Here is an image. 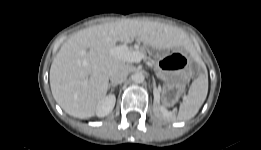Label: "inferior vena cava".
I'll return each instance as SVG.
<instances>
[{
    "label": "inferior vena cava",
    "mask_w": 261,
    "mask_h": 150,
    "mask_svg": "<svg viewBox=\"0 0 261 150\" xmlns=\"http://www.w3.org/2000/svg\"><path fill=\"white\" fill-rule=\"evenodd\" d=\"M128 76V68L124 64L112 67L109 71V78L112 83H122Z\"/></svg>",
    "instance_id": "inferior-vena-cava-1"
}]
</instances>
